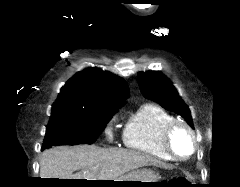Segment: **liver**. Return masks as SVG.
I'll list each match as a JSON object with an SVG mask.
<instances>
[{"label":"liver","mask_w":240,"mask_h":187,"mask_svg":"<svg viewBox=\"0 0 240 187\" xmlns=\"http://www.w3.org/2000/svg\"><path fill=\"white\" fill-rule=\"evenodd\" d=\"M164 166L136 151L94 145L57 146L42 152L40 178L116 180L144 166ZM77 170L80 172L73 173Z\"/></svg>","instance_id":"obj_1"}]
</instances>
